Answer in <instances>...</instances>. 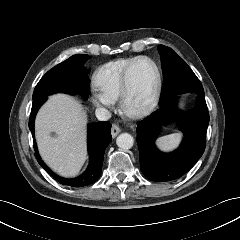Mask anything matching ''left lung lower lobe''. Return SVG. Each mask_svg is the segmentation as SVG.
<instances>
[{
	"label": "left lung lower lobe",
	"mask_w": 240,
	"mask_h": 240,
	"mask_svg": "<svg viewBox=\"0 0 240 240\" xmlns=\"http://www.w3.org/2000/svg\"><path fill=\"white\" fill-rule=\"evenodd\" d=\"M199 94V93H198ZM177 97L167 100L157 111L137 125L140 169L147 179L167 182L182 177L204 153L209 113L204 94H199L196 106L185 113L176 109ZM176 119L184 139L172 153H163L155 146L161 126Z\"/></svg>",
	"instance_id": "1"
}]
</instances>
